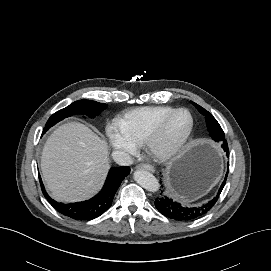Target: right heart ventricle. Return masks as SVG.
I'll use <instances>...</instances> for the list:
<instances>
[{
	"label": "right heart ventricle",
	"mask_w": 271,
	"mask_h": 271,
	"mask_svg": "<svg viewBox=\"0 0 271 271\" xmlns=\"http://www.w3.org/2000/svg\"><path fill=\"white\" fill-rule=\"evenodd\" d=\"M174 110L175 108L170 106L139 107L128 111L120 118L119 128L131 142L141 145Z\"/></svg>",
	"instance_id": "right-heart-ventricle-1"
}]
</instances>
